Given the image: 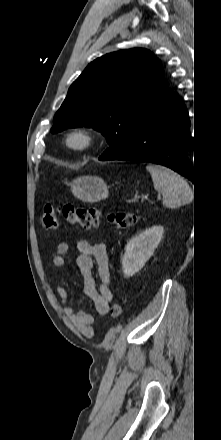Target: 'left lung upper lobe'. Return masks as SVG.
<instances>
[{"instance_id":"obj_1","label":"left lung upper lobe","mask_w":221,"mask_h":440,"mask_svg":"<svg viewBox=\"0 0 221 440\" xmlns=\"http://www.w3.org/2000/svg\"><path fill=\"white\" fill-rule=\"evenodd\" d=\"M166 87L161 62L149 50L106 54L91 62L70 86L51 132L93 127L110 145L101 156L115 159L126 151L138 119Z\"/></svg>"}]
</instances>
